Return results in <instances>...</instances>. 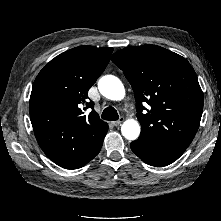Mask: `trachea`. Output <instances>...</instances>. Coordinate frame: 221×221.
<instances>
[{"label":"trachea","instance_id":"obj_1","mask_svg":"<svg viewBox=\"0 0 221 221\" xmlns=\"http://www.w3.org/2000/svg\"><path fill=\"white\" fill-rule=\"evenodd\" d=\"M104 120L115 121L118 120L119 116L117 111L113 107H107L102 112L101 116Z\"/></svg>","mask_w":221,"mask_h":221}]
</instances>
